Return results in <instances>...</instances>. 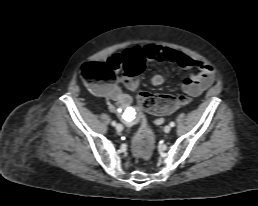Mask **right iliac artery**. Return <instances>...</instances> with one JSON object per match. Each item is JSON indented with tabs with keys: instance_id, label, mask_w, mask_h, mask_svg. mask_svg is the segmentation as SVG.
Masks as SVG:
<instances>
[{
	"instance_id": "1",
	"label": "right iliac artery",
	"mask_w": 258,
	"mask_h": 206,
	"mask_svg": "<svg viewBox=\"0 0 258 206\" xmlns=\"http://www.w3.org/2000/svg\"><path fill=\"white\" fill-rule=\"evenodd\" d=\"M111 124H112L113 126H116V125H117L116 121H112Z\"/></svg>"
}]
</instances>
